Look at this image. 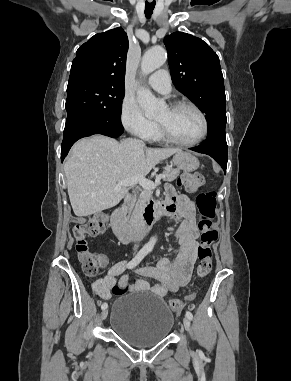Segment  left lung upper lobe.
<instances>
[{
    "label": "left lung upper lobe",
    "instance_id": "left-lung-upper-lobe-1",
    "mask_svg": "<svg viewBox=\"0 0 291 381\" xmlns=\"http://www.w3.org/2000/svg\"><path fill=\"white\" fill-rule=\"evenodd\" d=\"M176 88L205 113L207 139L225 137L226 96L219 57L202 39L175 32L164 38Z\"/></svg>",
    "mask_w": 291,
    "mask_h": 381
}]
</instances>
